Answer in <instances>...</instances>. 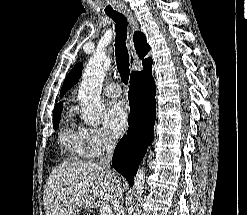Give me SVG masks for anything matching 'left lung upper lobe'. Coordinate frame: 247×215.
<instances>
[{"mask_svg": "<svg viewBox=\"0 0 247 215\" xmlns=\"http://www.w3.org/2000/svg\"><path fill=\"white\" fill-rule=\"evenodd\" d=\"M82 68V63H78L72 68V70L69 72L66 79L64 80L63 86L60 91V97H62L68 89H70L78 82L79 78L81 77Z\"/></svg>", "mask_w": 247, "mask_h": 215, "instance_id": "1", "label": "left lung upper lobe"}]
</instances>
